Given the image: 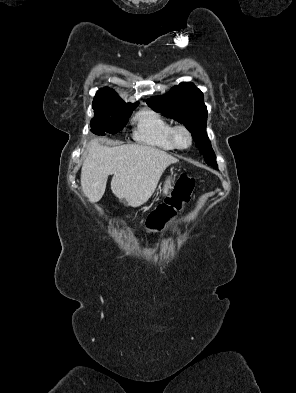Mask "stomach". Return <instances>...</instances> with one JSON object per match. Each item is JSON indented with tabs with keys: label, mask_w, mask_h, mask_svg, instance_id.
<instances>
[{
	"label": "stomach",
	"mask_w": 296,
	"mask_h": 393,
	"mask_svg": "<svg viewBox=\"0 0 296 393\" xmlns=\"http://www.w3.org/2000/svg\"><path fill=\"white\" fill-rule=\"evenodd\" d=\"M174 183H175V175L173 174V172H171L169 175L166 176L163 182V186L160 189V193H162L163 195L169 194L174 188Z\"/></svg>",
	"instance_id": "stomach-1"
}]
</instances>
